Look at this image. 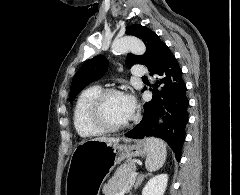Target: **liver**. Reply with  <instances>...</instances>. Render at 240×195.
Listing matches in <instances>:
<instances>
[{"label":"liver","mask_w":240,"mask_h":195,"mask_svg":"<svg viewBox=\"0 0 240 195\" xmlns=\"http://www.w3.org/2000/svg\"><path fill=\"white\" fill-rule=\"evenodd\" d=\"M99 141H107V143H118L119 137H95Z\"/></svg>","instance_id":"6515ba94"}]
</instances>
